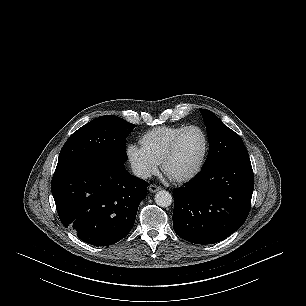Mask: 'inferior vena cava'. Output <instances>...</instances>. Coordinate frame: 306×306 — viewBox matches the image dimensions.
Here are the masks:
<instances>
[{
  "mask_svg": "<svg viewBox=\"0 0 306 306\" xmlns=\"http://www.w3.org/2000/svg\"><path fill=\"white\" fill-rule=\"evenodd\" d=\"M132 172L135 176L142 178V179H147L151 177L150 171L145 166H141V165L133 166Z\"/></svg>",
  "mask_w": 306,
  "mask_h": 306,
  "instance_id": "inferior-vena-cava-1",
  "label": "inferior vena cava"
}]
</instances>
